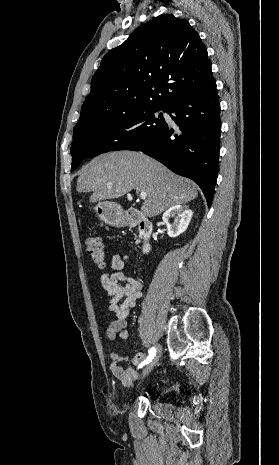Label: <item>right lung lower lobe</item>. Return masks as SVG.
I'll list each match as a JSON object with an SVG mask.
<instances>
[{"label":"right lung lower lobe","instance_id":"right-lung-lower-lobe-1","mask_svg":"<svg viewBox=\"0 0 279 465\" xmlns=\"http://www.w3.org/2000/svg\"><path fill=\"white\" fill-rule=\"evenodd\" d=\"M165 110L178 126L177 132L166 123L151 143L122 150L142 151L174 173L192 179L210 207L218 176L221 130L214 79L170 103Z\"/></svg>","mask_w":279,"mask_h":465}]
</instances>
